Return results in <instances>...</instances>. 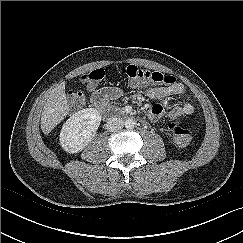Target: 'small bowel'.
Returning a JSON list of instances; mask_svg holds the SVG:
<instances>
[{
  "mask_svg": "<svg viewBox=\"0 0 243 243\" xmlns=\"http://www.w3.org/2000/svg\"><path fill=\"white\" fill-rule=\"evenodd\" d=\"M133 88L146 89L147 96L152 100L148 117L155 121L162 117L169 119H177L184 116H189L193 113L194 108L191 104L186 103L183 105L174 106L166 110L162 103L166 102L173 95H182L185 93L186 88L182 83H175L169 87H154L149 84H137L131 82ZM97 84L89 85V90L93 91L91 102L98 105L99 101H108L121 96L122 92L118 88L110 89H97Z\"/></svg>",
  "mask_w": 243,
  "mask_h": 243,
  "instance_id": "c3829d8e",
  "label": "small bowel"
}]
</instances>
